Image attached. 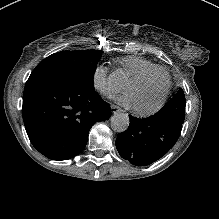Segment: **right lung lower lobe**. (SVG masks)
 Returning <instances> with one entry per match:
<instances>
[{"mask_svg": "<svg viewBox=\"0 0 219 219\" xmlns=\"http://www.w3.org/2000/svg\"><path fill=\"white\" fill-rule=\"evenodd\" d=\"M110 105L70 69L30 76L23 95V119L33 145L49 158L80 153L90 128L110 117Z\"/></svg>", "mask_w": 219, "mask_h": 219, "instance_id": "98d812e1", "label": "right lung lower lobe"}]
</instances>
